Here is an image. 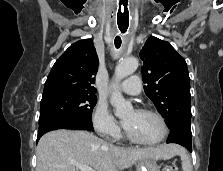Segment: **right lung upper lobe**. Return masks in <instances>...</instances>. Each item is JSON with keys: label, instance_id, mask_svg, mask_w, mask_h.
Returning <instances> with one entry per match:
<instances>
[{"label": "right lung upper lobe", "instance_id": "1", "mask_svg": "<svg viewBox=\"0 0 223 171\" xmlns=\"http://www.w3.org/2000/svg\"><path fill=\"white\" fill-rule=\"evenodd\" d=\"M98 64L91 39L72 44L53 65L45 82L42 98L71 92L94 94V75Z\"/></svg>", "mask_w": 223, "mask_h": 171}]
</instances>
